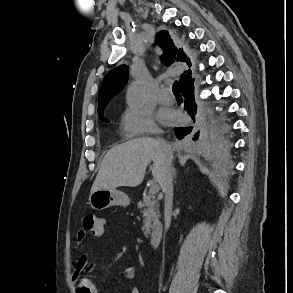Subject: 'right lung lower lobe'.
<instances>
[{"label":"right lung lower lobe","instance_id":"1","mask_svg":"<svg viewBox=\"0 0 293 293\" xmlns=\"http://www.w3.org/2000/svg\"><path fill=\"white\" fill-rule=\"evenodd\" d=\"M194 79H191L184 83L183 86L180 87V91L185 98V109L191 115L193 119H195L197 105L194 99ZM192 130V127H182V128H175V134L178 139H183L184 136L189 134ZM198 138V133L195 134L194 139Z\"/></svg>","mask_w":293,"mask_h":293}]
</instances>
